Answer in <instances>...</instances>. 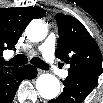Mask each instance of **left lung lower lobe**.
I'll list each match as a JSON object with an SVG mask.
<instances>
[{"instance_id":"0a47b994","label":"left lung lower lobe","mask_w":103,"mask_h":103,"mask_svg":"<svg viewBox=\"0 0 103 103\" xmlns=\"http://www.w3.org/2000/svg\"><path fill=\"white\" fill-rule=\"evenodd\" d=\"M98 82L94 75H68L63 81V92L49 103H82Z\"/></svg>"}]
</instances>
